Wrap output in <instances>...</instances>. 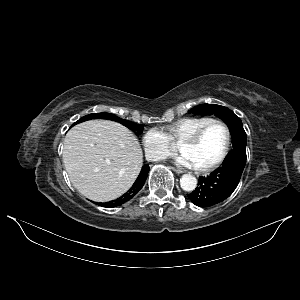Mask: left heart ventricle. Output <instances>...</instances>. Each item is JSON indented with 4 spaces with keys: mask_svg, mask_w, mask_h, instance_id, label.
Masks as SVG:
<instances>
[{
    "mask_svg": "<svg viewBox=\"0 0 300 300\" xmlns=\"http://www.w3.org/2000/svg\"><path fill=\"white\" fill-rule=\"evenodd\" d=\"M225 144V129L221 125H212L205 131L198 143L183 146L180 150L192 159L195 167H204L221 156Z\"/></svg>",
    "mask_w": 300,
    "mask_h": 300,
    "instance_id": "obj_1",
    "label": "left heart ventricle"
}]
</instances>
